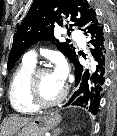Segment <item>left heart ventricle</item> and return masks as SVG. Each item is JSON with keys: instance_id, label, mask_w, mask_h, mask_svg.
<instances>
[{"instance_id": "1", "label": "left heart ventricle", "mask_w": 117, "mask_h": 136, "mask_svg": "<svg viewBox=\"0 0 117 136\" xmlns=\"http://www.w3.org/2000/svg\"><path fill=\"white\" fill-rule=\"evenodd\" d=\"M64 83L50 71L40 75L38 79V93L42 101L48 102L56 99L63 91Z\"/></svg>"}]
</instances>
